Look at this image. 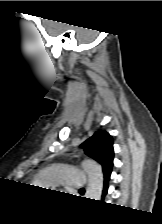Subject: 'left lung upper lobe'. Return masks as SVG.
I'll return each instance as SVG.
<instances>
[{
	"instance_id": "5c2ea615",
	"label": "left lung upper lobe",
	"mask_w": 162,
	"mask_h": 224,
	"mask_svg": "<svg viewBox=\"0 0 162 224\" xmlns=\"http://www.w3.org/2000/svg\"><path fill=\"white\" fill-rule=\"evenodd\" d=\"M85 153L102 165L103 173L111 172L113 167V138L106 131H98L82 143Z\"/></svg>"
}]
</instances>
